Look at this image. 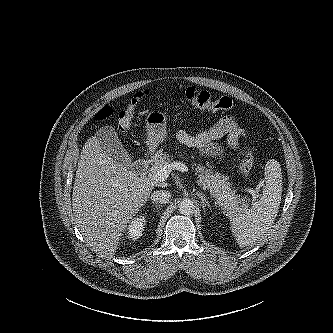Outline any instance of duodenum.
Returning a JSON list of instances; mask_svg holds the SVG:
<instances>
[{"mask_svg":"<svg viewBox=\"0 0 333 333\" xmlns=\"http://www.w3.org/2000/svg\"><path fill=\"white\" fill-rule=\"evenodd\" d=\"M149 165H150V158L146 157V158L135 161L133 164V169L136 172L142 173L148 169Z\"/></svg>","mask_w":333,"mask_h":333,"instance_id":"obj_1","label":"duodenum"}]
</instances>
